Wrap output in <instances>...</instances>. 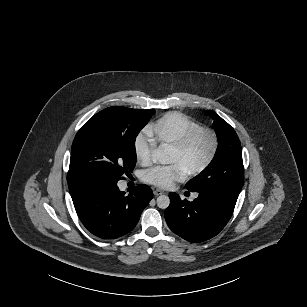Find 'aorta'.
<instances>
[{
  "mask_svg": "<svg viewBox=\"0 0 307 307\" xmlns=\"http://www.w3.org/2000/svg\"><path fill=\"white\" fill-rule=\"evenodd\" d=\"M173 148L168 144H161L156 151L152 154V160L154 163L170 164L172 163L171 153ZM170 204V199L166 195H160L157 198V206L161 209H166Z\"/></svg>",
  "mask_w": 307,
  "mask_h": 307,
  "instance_id": "obj_1",
  "label": "aorta"
}]
</instances>
